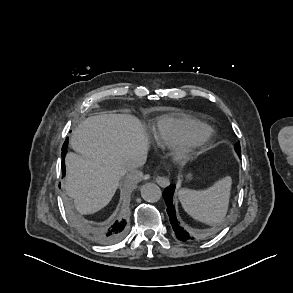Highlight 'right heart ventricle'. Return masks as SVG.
Here are the masks:
<instances>
[{"instance_id":"1","label":"right heart ventricle","mask_w":293,"mask_h":293,"mask_svg":"<svg viewBox=\"0 0 293 293\" xmlns=\"http://www.w3.org/2000/svg\"><path fill=\"white\" fill-rule=\"evenodd\" d=\"M200 122L186 114L170 113L158 117L149 129L152 142L167 148L180 144L192 127Z\"/></svg>"}]
</instances>
